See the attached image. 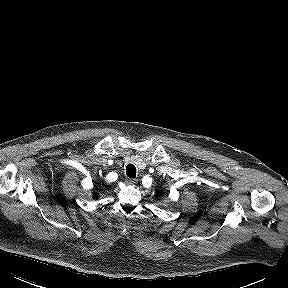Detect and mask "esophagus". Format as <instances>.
Returning a JSON list of instances; mask_svg holds the SVG:
<instances>
[{
	"mask_svg": "<svg viewBox=\"0 0 288 288\" xmlns=\"http://www.w3.org/2000/svg\"><path fill=\"white\" fill-rule=\"evenodd\" d=\"M125 182L129 185H134L137 183V179L134 178H126Z\"/></svg>",
	"mask_w": 288,
	"mask_h": 288,
	"instance_id": "1",
	"label": "esophagus"
}]
</instances>
